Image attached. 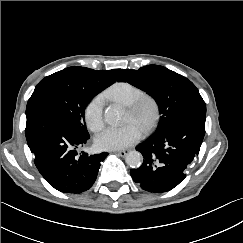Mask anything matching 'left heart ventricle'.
Returning <instances> with one entry per match:
<instances>
[{
    "instance_id": "left-heart-ventricle-1",
    "label": "left heart ventricle",
    "mask_w": 243,
    "mask_h": 243,
    "mask_svg": "<svg viewBox=\"0 0 243 243\" xmlns=\"http://www.w3.org/2000/svg\"><path fill=\"white\" fill-rule=\"evenodd\" d=\"M152 116V111L150 107H146L142 113L135 115L131 113L129 110L127 111L126 122H133L137 124L141 129H143L148 122L150 121Z\"/></svg>"
}]
</instances>
